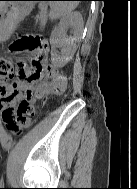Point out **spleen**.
Listing matches in <instances>:
<instances>
[{
  "label": "spleen",
  "instance_id": "obj_1",
  "mask_svg": "<svg viewBox=\"0 0 137 189\" xmlns=\"http://www.w3.org/2000/svg\"><path fill=\"white\" fill-rule=\"evenodd\" d=\"M51 8L53 11L62 14L66 8H73V2H66V1H54L50 3Z\"/></svg>",
  "mask_w": 137,
  "mask_h": 189
}]
</instances>
